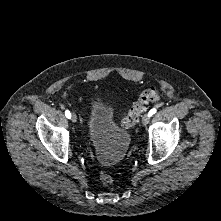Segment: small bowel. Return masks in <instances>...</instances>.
<instances>
[{
	"mask_svg": "<svg viewBox=\"0 0 221 221\" xmlns=\"http://www.w3.org/2000/svg\"><path fill=\"white\" fill-rule=\"evenodd\" d=\"M161 84H162L163 86H167V83H165V82H162Z\"/></svg>",
	"mask_w": 221,
	"mask_h": 221,
	"instance_id": "small-bowel-1",
	"label": "small bowel"
}]
</instances>
